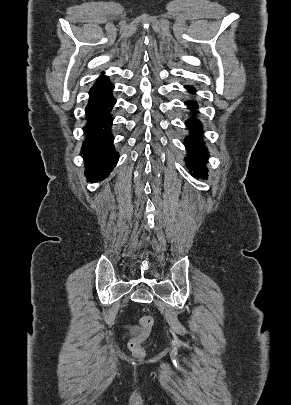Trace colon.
<instances>
[{
    "mask_svg": "<svg viewBox=\"0 0 291 405\" xmlns=\"http://www.w3.org/2000/svg\"><path fill=\"white\" fill-rule=\"evenodd\" d=\"M153 326L154 319L152 316L145 315L140 319L139 331L129 342V348L136 357L144 356L145 353L141 344L151 333Z\"/></svg>",
    "mask_w": 291,
    "mask_h": 405,
    "instance_id": "1",
    "label": "colon"
}]
</instances>
